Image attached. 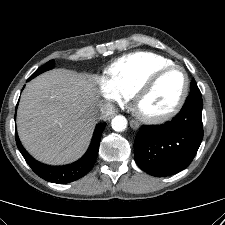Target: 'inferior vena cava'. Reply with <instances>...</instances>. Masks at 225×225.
Returning a JSON list of instances; mask_svg holds the SVG:
<instances>
[{
	"label": "inferior vena cava",
	"instance_id": "obj_1",
	"mask_svg": "<svg viewBox=\"0 0 225 225\" xmlns=\"http://www.w3.org/2000/svg\"><path fill=\"white\" fill-rule=\"evenodd\" d=\"M115 107L111 103H101L99 111L96 113L97 119L107 120L114 114Z\"/></svg>",
	"mask_w": 225,
	"mask_h": 225
}]
</instances>
